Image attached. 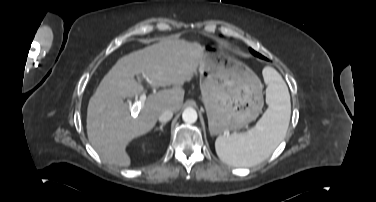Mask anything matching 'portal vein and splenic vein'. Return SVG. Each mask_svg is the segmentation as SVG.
<instances>
[{
  "label": "portal vein and splenic vein",
  "mask_w": 376,
  "mask_h": 202,
  "mask_svg": "<svg viewBox=\"0 0 376 202\" xmlns=\"http://www.w3.org/2000/svg\"><path fill=\"white\" fill-rule=\"evenodd\" d=\"M143 77L147 80V76L146 75H143ZM146 101V95L145 94H142L139 99H136L135 102L133 103V106H132V109L134 111H137L141 108V106L145 103Z\"/></svg>",
  "instance_id": "1"
}]
</instances>
